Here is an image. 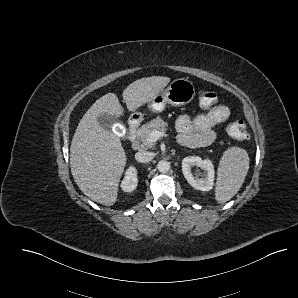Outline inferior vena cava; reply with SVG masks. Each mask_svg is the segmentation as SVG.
I'll return each mask as SVG.
<instances>
[{
	"label": "inferior vena cava",
	"instance_id": "inferior-vena-cava-1",
	"mask_svg": "<svg viewBox=\"0 0 298 298\" xmlns=\"http://www.w3.org/2000/svg\"><path fill=\"white\" fill-rule=\"evenodd\" d=\"M153 158H154V153L149 151H139L135 154V159L141 163L149 162L153 160Z\"/></svg>",
	"mask_w": 298,
	"mask_h": 298
}]
</instances>
